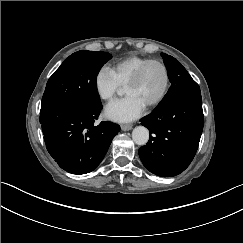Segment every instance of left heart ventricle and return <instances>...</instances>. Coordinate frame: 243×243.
<instances>
[{"label": "left heart ventricle", "mask_w": 243, "mask_h": 243, "mask_svg": "<svg viewBox=\"0 0 243 243\" xmlns=\"http://www.w3.org/2000/svg\"><path fill=\"white\" fill-rule=\"evenodd\" d=\"M166 85V74L163 68L152 63L143 71L140 79L125 87L126 95H135L147 106L155 101L164 91Z\"/></svg>", "instance_id": "obj_1"}]
</instances>
